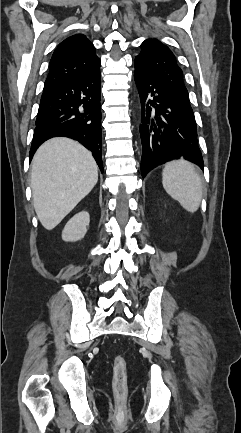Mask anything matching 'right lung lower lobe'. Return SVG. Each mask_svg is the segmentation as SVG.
<instances>
[{"mask_svg":"<svg viewBox=\"0 0 241 433\" xmlns=\"http://www.w3.org/2000/svg\"><path fill=\"white\" fill-rule=\"evenodd\" d=\"M100 84L98 68L44 88L30 160L43 142L64 136L79 141L89 149L103 172Z\"/></svg>","mask_w":241,"mask_h":433,"instance_id":"1","label":"right lung lower lobe"}]
</instances>
